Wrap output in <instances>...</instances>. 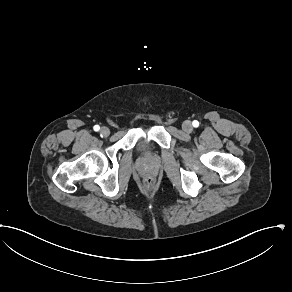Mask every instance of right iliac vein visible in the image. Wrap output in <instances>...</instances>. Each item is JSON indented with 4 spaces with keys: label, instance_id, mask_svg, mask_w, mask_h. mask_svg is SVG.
Masks as SVG:
<instances>
[{
    "label": "right iliac vein",
    "instance_id": "obj_1",
    "mask_svg": "<svg viewBox=\"0 0 292 292\" xmlns=\"http://www.w3.org/2000/svg\"><path fill=\"white\" fill-rule=\"evenodd\" d=\"M100 134H101V136H104V137H107V136H109V134H110V130H109V128L108 127H102L101 129H100Z\"/></svg>",
    "mask_w": 292,
    "mask_h": 292
}]
</instances>
